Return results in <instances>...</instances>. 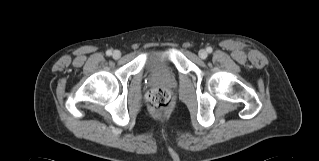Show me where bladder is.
<instances>
[{
    "mask_svg": "<svg viewBox=\"0 0 319 161\" xmlns=\"http://www.w3.org/2000/svg\"><path fill=\"white\" fill-rule=\"evenodd\" d=\"M145 68L148 72H159L170 68L171 63L166 50L161 47H153L145 55Z\"/></svg>",
    "mask_w": 319,
    "mask_h": 161,
    "instance_id": "bladder-1",
    "label": "bladder"
}]
</instances>
